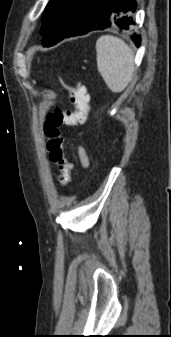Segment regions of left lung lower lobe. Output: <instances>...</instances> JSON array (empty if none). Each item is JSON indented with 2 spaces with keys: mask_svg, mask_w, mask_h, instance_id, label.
I'll use <instances>...</instances> for the list:
<instances>
[{
  "mask_svg": "<svg viewBox=\"0 0 171 337\" xmlns=\"http://www.w3.org/2000/svg\"><path fill=\"white\" fill-rule=\"evenodd\" d=\"M136 6L134 0H85L76 24L62 39L105 28H115L120 32L130 30ZM131 39L137 47L140 46L139 35L133 34Z\"/></svg>",
  "mask_w": 171,
  "mask_h": 337,
  "instance_id": "0a47b994",
  "label": "left lung lower lobe"
}]
</instances>
